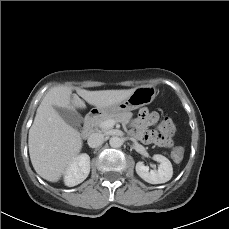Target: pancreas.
<instances>
[{
    "mask_svg": "<svg viewBox=\"0 0 229 229\" xmlns=\"http://www.w3.org/2000/svg\"><path fill=\"white\" fill-rule=\"evenodd\" d=\"M131 116H132L131 112H122V113L112 114V115H102L96 120L95 124L97 126H100L102 122L111 119L115 120L116 122L127 123L131 118Z\"/></svg>",
    "mask_w": 229,
    "mask_h": 229,
    "instance_id": "obj_1",
    "label": "pancreas"
}]
</instances>
